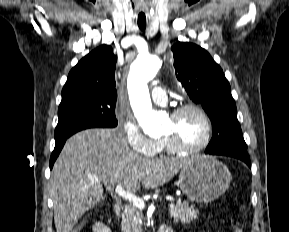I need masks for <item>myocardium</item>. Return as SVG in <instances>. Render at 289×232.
Listing matches in <instances>:
<instances>
[{
  "mask_svg": "<svg viewBox=\"0 0 289 232\" xmlns=\"http://www.w3.org/2000/svg\"><path fill=\"white\" fill-rule=\"evenodd\" d=\"M186 111H195L200 115L206 127V134L204 139L199 144L194 146H185L180 144L178 141H176L171 137L164 136L162 140L165 142L168 149L173 153L192 154L200 152L210 144L213 137L212 122L206 111L199 105L189 103L178 106L171 112L170 117L173 119L178 118L181 114H183Z\"/></svg>",
  "mask_w": 289,
  "mask_h": 232,
  "instance_id": "f54148a6",
  "label": "myocardium"
}]
</instances>
